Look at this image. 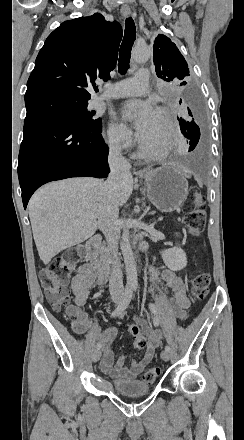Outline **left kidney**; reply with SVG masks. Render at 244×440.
Wrapping results in <instances>:
<instances>
[{"label": "left kidney", "instance_id": "5707ae66", "mask_svg": "<svg viewBox=\"0 0 244 440\" xmlns=\"http://www.w3.org/2000/svg\"><path fill=\"white\" fill-rule=\"evenodd\" d=\"M162 260L172 272H179V270H183L187 266V258L184 250L182 248H169V250H165L162 254Z\"/></svg>", "mask_w": 244, "mask_h": 440}]
</instances>
